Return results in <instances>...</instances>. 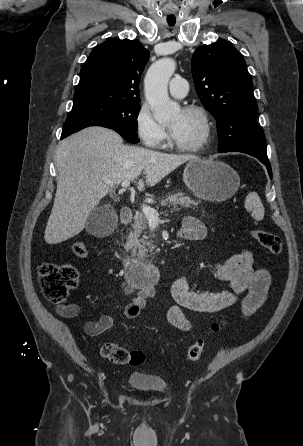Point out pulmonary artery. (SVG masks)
Masks as SVG:
<instances>
[{"label": "pulmonary artery", "mask_w": 303, "mask_h": 446, "mask_svg": "<svg viewBox=\"0 0 303 446\" xmlns=\"http://www.w3.org/2000/svg\"><path fill=\"white\" fill-rule=\"evenodd\" d=\"M169 92L175 98H184L188 92V82L180 76L172 78L169 83Z\"/></svg>", "instance_id": "pulmonary-artery-1"}]
</instances>
